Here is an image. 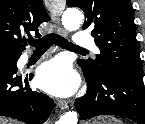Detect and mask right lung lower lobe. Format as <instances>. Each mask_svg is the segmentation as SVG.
<instances>
[{
	"label": "right lung lower lobe",
	"instance_id": "98d812e1",
	"mask_svg": "<svg viewBox=\"0 0 145 124\" xmlns=\"http://www.w3.org/2000/svg\"><path fill=\"white\" fill-rule=\"evenodd\" d=\"M20 55L0 58V116L28 124H43L54 108V101L45 94L31 90L29 81L32 76L16 75Z\"/></svg>",
	"mask_w": 145,
	"mask_h": 124
}]
</instances>
